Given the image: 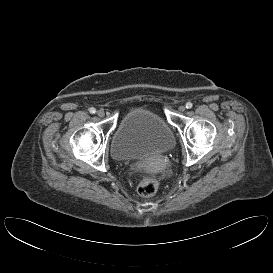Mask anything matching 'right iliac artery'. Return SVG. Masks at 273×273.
Returning a JSON list of instances; mask_svg holds the SVG:
<instances>
[{
    "label": "right iliac artery",
    "instance_id": "obj_1",
    "mask_svg": "<svg viewBox=\"0 0 273 273\" xmlns=\"http://www.w3.org/2000/svg\"><path fill=\"white\" fill-rule=\"evenodd\" d=\"M89 111H90V113H92V114L96 113V109H95V108H93V107H92V108H90V109H89Z\"/></svg>",
    "mask_w": 273,
    "mask_h": 273
}]
</instances>
